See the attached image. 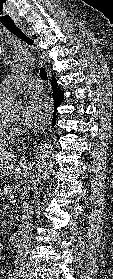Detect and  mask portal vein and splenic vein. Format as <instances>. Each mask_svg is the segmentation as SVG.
<instances>
[{
	"label": "portal vein and splenic vein",
	"instance_id": "18ae733b",
	"mask_svg": "<svg viewBox=\"0 0 113 279\" xmlns=\"http://www.w3.org/2000/svg\"><path fill=\"white\" fill-rule=\"evenodd\" d=\"M12 199H14V196H13V195H10V196L8 197V200H12Z\"/></svg>",
	"mask_w": 113,
	"mask_h": 279
}]
</instances>
